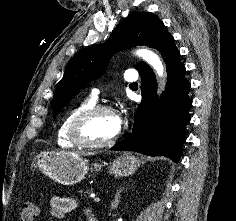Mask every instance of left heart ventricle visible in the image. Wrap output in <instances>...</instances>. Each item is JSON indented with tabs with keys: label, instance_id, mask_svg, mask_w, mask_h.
I'll list each match as a JSON object with an SVG mask.
<instances>
[{
	"label": "left heart ventricle",
	"instance_id": "1",
	"mask_svg": "<svg viewBox=\"0 0 236 221\" xmlns=\"http://www.w3.org/2000/svg\"><path fill=\"white\" fill-rule=\"evenodd\" d=\"M84 135L94 142H102L111 139L117 132L115 115L99 113L90 118L84 126Z\"/></svg>",
	"mask_w": 236,
	"mask_h": 221
}]
</instances>
